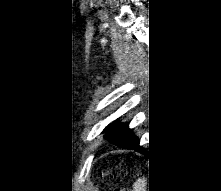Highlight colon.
I'll return each mask as SVG.
<instances>
[{"mask_svg":"<svg viewBox=\"0 0 221 191\" xmlns=\"http://www.w3.org/2000/svg\"><path fill=\"white\" fill-rule=\"evenodd\" d=\"M115 191H126V190H122V189H116Z\"/></svg>","mask_w":221,"mask_h":191,"instance_id":"obj_1","label":"colon"}]
</instances>
